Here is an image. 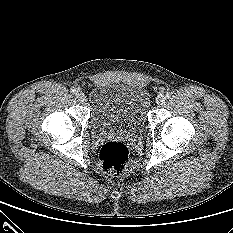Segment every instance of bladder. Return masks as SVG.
Instances as JSON below:
<instances>
[{
	"mask_svg": "<svg viewBox=\"0 0 233 233\" xmlns=\"http://www.w3.org/2000/svg\"><path fill=\"white\" fill-rule=\"evenodd\" d=\"M89 103L94 132L140 133L147 125L149 94L144 87L124 82L98 83L90 91Z\"/></svg>",
	"mask_w": 233,
	"mask_h": 233,
	"instance_id": "31cf9c89",
	"label": "bladder"
}]
</instances>
